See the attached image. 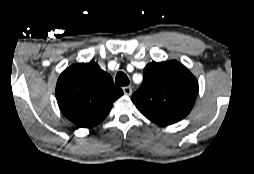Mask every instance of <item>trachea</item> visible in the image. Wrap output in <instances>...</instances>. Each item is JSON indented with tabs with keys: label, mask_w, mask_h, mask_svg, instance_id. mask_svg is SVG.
<instances>
[{
	"label": "trachea",
	"mask_w": 254,
	"mask_h": 174,
	"mask_svg": "<svg viewBox=\"0 0 254 174\" xmlns=\"http://www.w3.org/2000/svg\"><path fill=\"white\" fill-rule=\"evenodd\" d=\"M115 82L119 86H127L129 84V78L124 72H118L116 74Z\"/></svg>",
	"instance_id": "obj_1"
}]
</instances>
